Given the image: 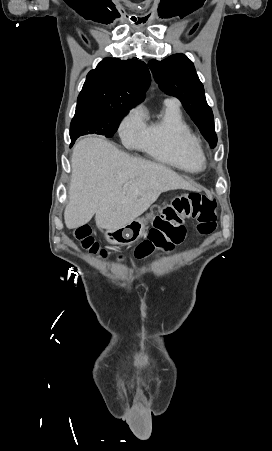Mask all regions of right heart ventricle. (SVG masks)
I'll return each instance as SVG.
<instances>
[{
    "mask_svg": "<svg viewBox=\"0 0 272 451\" xmlns=\"http://www.w3.org/2000/svg\"><path fill=\"white\" fill-rule=\"evenodd\" d=\"M196 141L183 121L179 107L166 103L161 117L149 124L137 142L155 160L168 164L184 174H193L196 164L188 147Z\"/></svg>",
    "mask_w": 272,
    "mask_h": 451,
    "instance_id": "obj_1",
    "label": "right heart ventricle"
}]
</instances>
